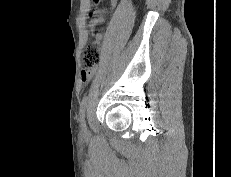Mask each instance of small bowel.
Segmentation results:
<instances>
[{
    "instance_id": "obj_1",
    "label": "small bowel",
    "mask_w": 231,
    "mask_h": 177,
    "mask_svg": "<svg viewBox=\"0 0 231 177\" xmlns=\"http://www.w3.org/2000/svg\"><path fill=\"white\" fill-rule=\"evenodd\" d=\"M100 3L101 0H92V9L90 12V19H89V26L91 28L100 25L105 19L104 11H102L100 8ZM116 3L117 0H111V8H114ZM96 39L101 40L102 37L100 35H97ZM94 72H95L94 70L83 71L81 75L82 81L85 83L88 82L94 75Z\"/></svg>"
}]
</instances>
